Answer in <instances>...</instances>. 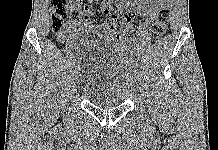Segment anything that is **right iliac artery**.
<instances>
[{"label":"right iliac artery","instance_id":"obj_1","mask_svg":"<svg viewBox=\"0 0 218 150\" xmlns=\"http://www.w3.org/2000/svg\"><path fill=\"white\" fill-rule=\"evenodd\" d=\"M76 63H77V59L75 58V59L73 60V62L71 63L72 67H75Z\"/></svg>","mask_w":218,"mask_h":150}]
</instances>
